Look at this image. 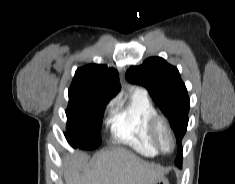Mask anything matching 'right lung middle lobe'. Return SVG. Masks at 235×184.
I'll return each instance as SVG.
<instances>
[{
  "label": "right lung middle lobe",
  "instance_id": "obj_1",
  "mask_svg": "<svg viewBox=\"0 0 235 184\" xmlns=\"http://www.w3.org/2000/svg\"><path fill=\"white\" fill-rule=\"evenodd\" d=\"M105 106L89 105L83 94L69 93L65 136L71 146L92 150L101 144V117Z\"/></svg>",
  "mask_w": 235,
  "mask_h": 184
}]
</instances>
